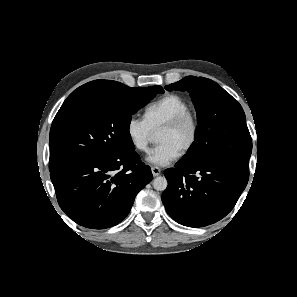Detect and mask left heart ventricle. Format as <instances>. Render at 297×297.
Segmentation results:
<instances>
[{"instance_id":"left-heart-ventricle-1","label":"left heart ventricle","mask_w":297,"mask_h":297,"mask_svg":"<svg viewBox=\"0 0 297 297\" xmlns=\"http://www.w3.org/2000/svg\"><path fill=\"white\" fill-rule=\"evenodd\" d=\"M190 135V126L188 124L183 125L179 129L167 131L161 130L158 133V143H170L176 147L179 151L187 142Z\"/></svg>"}]
</instances>
